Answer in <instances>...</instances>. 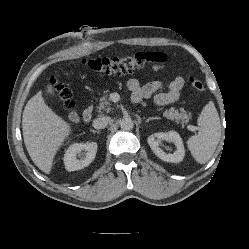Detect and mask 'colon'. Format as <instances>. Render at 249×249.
<instances>
[{"mask_svg": "<svg viewBox=\"0 0 249 249\" xmlns=\"http://www.w3.org/2000/svg\"><path fill=\"white\" fill-rule=\"evenodd\" d=\"M167 55L162 52H138L126 56L97 57L82 62L83 66L99 73L128 74L145 68H159L167 62ZM187 80L196 91L204 90V83L195 75H188ZM55 95L66 111L74 108L72 93L69 88L56 79L51 81Z\"/></svg>", "mask_w": 249, "mask_h": 249, "instance_id": "1", "label": "colon"}]
</instances>
